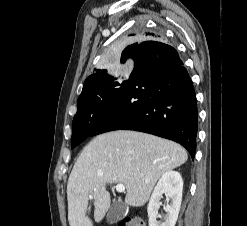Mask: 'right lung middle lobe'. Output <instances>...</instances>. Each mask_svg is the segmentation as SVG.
Returning <instances> with one entry per match:
<instances>
[{
    "label": "right lung middle lobe",
    "mask_w": 247,
    "mask_h": 226,
    "mask_svg": "<svg viewBox=\"0 0 247 226\" xmlns=\"http://www.w3.org/2000/svg\"><path fill=\"white\" fill-rule=\"evenodd\" d=\"M128 57L122 53L121 63H125ZM98 75L96 85L78 98L77 113L72 123V149L92 135L122 90L123 82L120 77L112 78L111 70H100Z\"/></svg>",
    "instance_id": "dd1d6c3e"
}]
</instances>
